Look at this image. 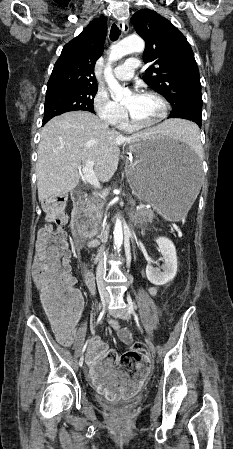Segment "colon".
Listing matches in <instances>:
<instances>
[{
  "mask_svg": "<svg viewBox=\"0 0 233 449\" xmlns=\"http://www.w3.org/2000/svg\"><path fill=\"white\" fill-rule=\"evenodd\" d=\"M66 197L49 199L44 204L48 224L39 233L37 255L33 266L35 285L52 321H72L82 305V295L76 289L69 265L70 251L63 227L67 222ZM143 343L122 355L120 366L127 371L145 365Z\"/></svg>",
  "mask_w": 233,
  "mask_h": 449,
  "instance_id": "5ec220e1",
  "label": "colon"
}]
</instances>
